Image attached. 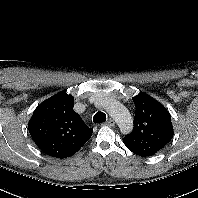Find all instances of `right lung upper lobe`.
Here are the masks:
<instances>
[{"label":"right lung upper lobe","mask_w":198,"mask_h":198,"mask_svg":"<svg viewBox=\"0 0 198 198\" xmlns=\"http://www.w3.org/2000/svg\"><path fill=\"white\" fill-rule=\"evenodd\" d=\"M74 98L60 92L42 102L34 111L28 129L36 145L56 158L75 154L90 139L93 129L73 110Z\"/></svg>","instance_id":"obj_1"}]
</instances>
